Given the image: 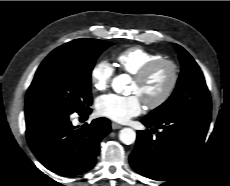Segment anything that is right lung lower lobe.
<instances>
[{
    "mask_svg": "<svg viewBox=\"0 0 230 186\" xmlns=\"http://www.w3.org/2000/svg\"><path fill=\"white\" fill-rule=\"evenodd\" d=\"M86 106L80 115L90 114ZM46 108L25 112L28 144L37 159L50 171L62 176L82 174L96 163L99 143L110 130V121L98 118L82 128L74 127L70 115Z\"/></svg>",
    "mask_w": 230,
    "mask_h": 186,
    "instance_id": "1",
    "label": "right lung lower lobe"
}]
</instances>
